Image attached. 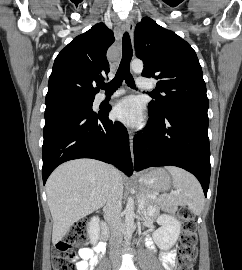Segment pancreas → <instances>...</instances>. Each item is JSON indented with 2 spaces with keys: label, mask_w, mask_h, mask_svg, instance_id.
<instances>
[{
  "label": "pancreas",
  "mask_w": 242,
  "mask_h": 270,
  "mask_svg": "<svg viewBox=\"0 0 242 270\" xmlns=\"http://www.w3.org/2000/svg\"><path fill=\"white\" fill-rule=\"evenodd\" d=\"M155 195L156 193L144 191L139 195V202H141L144 199V207L153 206L156 203V201L154 200ZM162 208L167 212H174L177 209L176 206H173L168 203H163Z\"/></svg>",
  "instance_id": "obj_1"
}]
</instances>
